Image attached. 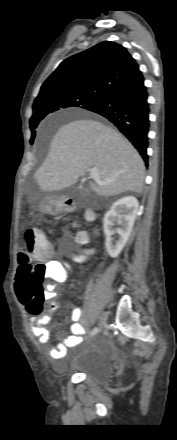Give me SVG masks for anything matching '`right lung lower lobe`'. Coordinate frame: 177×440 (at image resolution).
<instances>
[{
	"instance_id": "1",
	"label": "right lung lower lobe",
	"mask_w": 177,
	"mask_h": 440,
	"mask_svg": "<svg viewBox=\"0 0 177 440\" xmlns=\"http://www.w3.org/2000/svg\"><path fill=\"white\" fill-rule=\"evenodd\" d=\"M144 77L140 72L133 78L106 93L87 110L98 113L132 142L144 161L148 162L149 104Z\"/></svg>"
}]
</instances>
